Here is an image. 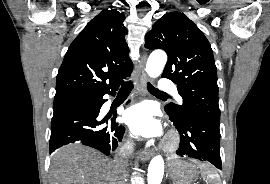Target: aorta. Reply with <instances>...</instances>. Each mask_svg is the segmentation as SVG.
<instances>
[{
  "label": "aorta",
  "instance_id": "obj_1",
  "mask_svg": "<svg viewBox=\"0 0 270 184\" xmlns=\"http://www.w3.org/2000/svg\"><path fill=\"white\" fill-rule=\"evenodd\" d=\"M167 62V55L163 51H154L147 60L146 72L152 77H158ZM164 174V160L162 156L157 155L152 158L148 167L147 183L161 184Z\"/></svg>",
  "mask_w": 270,
  "mask_h": 184
}]
</instances>
